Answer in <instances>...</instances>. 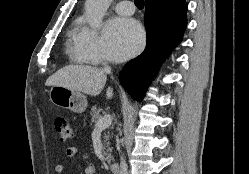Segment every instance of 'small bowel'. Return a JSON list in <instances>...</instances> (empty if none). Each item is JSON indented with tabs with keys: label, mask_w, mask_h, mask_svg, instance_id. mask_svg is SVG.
<instances>
[{
	"label": "small bowel",
	"mask_w": 249,
	"mask_h": 174,
	"mask_svg": "<svg viewBox=\"0 0 249 174\" xmlns=\"http://www.w3.org/2000/svg\"><path fill=\"white\" fill-rule=\"evenodd\" d=\"M81 154L84 162V174H96L97 169L95 163L89 158L88 154L80 151L77 147H69L66 149V156L69 158ZM57 174H64L65 168L62 164H58L55 168Z\"/></svg>",
	"instance_id": "c3829d8e"
}]
</instances>
